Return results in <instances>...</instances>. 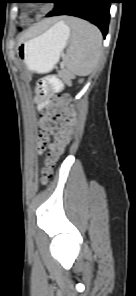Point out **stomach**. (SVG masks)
I'll return each instance as SVG.
<instances>
[{
  "mask_svg": "<svg viewBox=\"0 0 136 296\" xmlns=\"http://www.w3.org/2000/svg\"><path fill=\"white\" fill-rule=\"evenodd\" d=\"M69 36V27L58 22L43 34L19 43L18 56L30 71L49 72L58 62Z\"/></svg>",
  "mask_w": 136,
  "mask_h": 296,
  "instance_id": "stomach-1",
  "label": "stomach"
}]
</instances>
